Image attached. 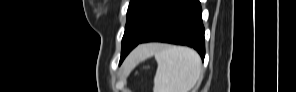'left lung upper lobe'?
Here are the masks:
<instances>
[{
    "label": "left lung upper lobe",
    "mask_w": 296,
    "mask_h": 92,
    "mask_svg": "<svg viewBox=\"0 0 296 92\" xmlns=\"http://www.w3.org/2000/svg\"><path fill=\"white\" fill-rule=\"evenodd\" d=\"M170 0H131L122 39L121 59L150 32Z\"/></svg>",
    "instance_id": "1"
}]
</instances>
